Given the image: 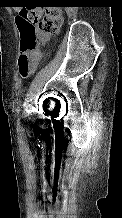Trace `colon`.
<instances>
[{
  "instance_id": "5ec220e1",
  "label": "colon",
  "mask_w": 122,
  "mask_h": 218,
  "mask_svg": "<svg viewBox=\"0 0 122 218\" xmlns=\"http://www.w3.org/2000/svg\"><path fill=\"white\" fill-rule=\"evenodd\" d=\"M16 21L21 37L19 71L26 79L40 59L38 48L58 33L63 21L62 12L58 7L23 8Z\"/></svg>"
}]
</instances>
